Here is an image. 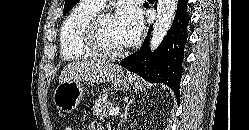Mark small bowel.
Listing matches in <instances>:
<instances>
[{"label":"small bowel","instance_id":"small-bowel-1","mask_svg":"<svg viewBox=\"0 0 249 130\" xmlns=\"http://www.w3.org/2000/svg\"><path fill=\"white\" fill-rule=\"evenodd\" d=\"M88 130H102V126L97 122H91L88 126Z\"/></svg>","mask_w":249,"mask_h":130}]
</instances>
